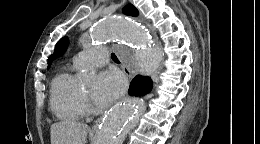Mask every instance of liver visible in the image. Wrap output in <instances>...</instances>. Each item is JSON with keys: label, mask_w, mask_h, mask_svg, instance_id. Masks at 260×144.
Masks as SVG:
<instances>
[{"label": "liver", "mask_w": 260, "mask_h": 144, "mask_svg": "<svg viewBox=\"0 0 260 144\" xmlns=\"http://www.w3.org/2000/svg\"><path fill=\"white\" fill-rule=\"evenodd\" d=\"M88 126L73 120L51 125V144H86Z\"/></svg>", "instance_id": "6515ba94"}]
</instances>
